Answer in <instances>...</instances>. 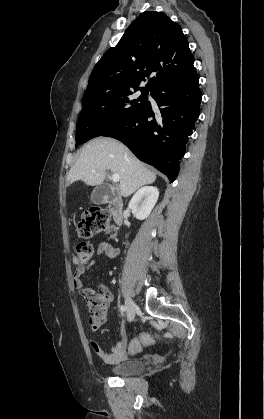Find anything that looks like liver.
I'll list each match as a JSON object with an SVG mask.
<instances>
[{
	"label": "liver",
	"instance_id": "liver-1",
	"mask_svg": "<svg viewBox=\"0 0 264 419\" xmlns=\"http://www.w3.org/2000/svg\"><path fill=\"white\" fill-rule=\"evenodd\" d=\"M120 177V194L128 197L140 187L156 180V174L121 142L99 137L86 144L68 173V183L83 181L88 186L103 184L107 171Z\"/></svg>",
	"mask_w": 264,
	"mask_h": 419
}]
</instances>
